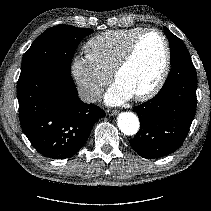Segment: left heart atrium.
<instances>
[{"label":"left heart atrium","mask_w":211,"mask_h":211,"mask_svg":"<svg viewBox=\"0 0 211 211\" xmlns=\"http://www.w3.org/2000/svg\"><path fill=\"white\" fill-rule=\"evenodd\" d=\"M132 96L133 94L126 87L116 81L106 93L105 101L110 105H118L129 100Z\"/></svg>","instance_id":"left-heart-atrium-1"}]
</instances>
